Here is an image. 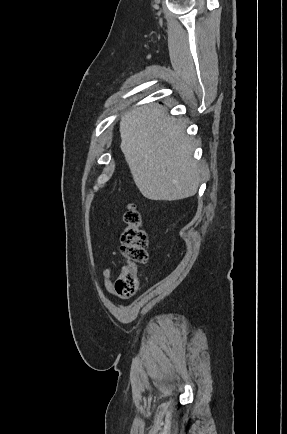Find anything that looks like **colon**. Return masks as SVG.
I'll return each mask as SVG.
<instances>
[{"label": "colon", "mask_w": 287, "mask_h": 434, "mask_svg": "<svg viewBox=\"0 0 287 434\" xmlns=\"http://www.w3.org/2000/svg\"><path fill=\"white\" fill-rule=\"evenodd\" d=\"M125 226L121 234V253L126 264L121 269L114 290L123 298L136 294L140 286V272L138 265L148 261V237L143 227V220L139 210L131 205L124 214Z\"/></svg>", "instance_id": "1"}]
</instances>
